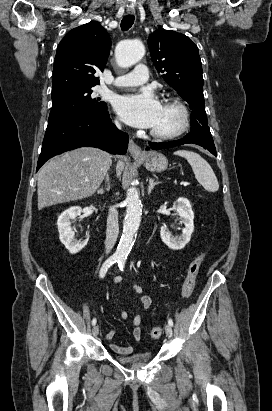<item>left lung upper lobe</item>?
Instances as JSON below:
<instances>
[{"label": "left lung upper lobe", "instance_id": "1", "mask_svg": "<svg viewBox=\"0 0 272 411\" xmlns=\"http://www.w3.org/2000/svg\"><path fill=\"white\" fill-rule=\"evenodd\" d=\"M148 46L157 71L163 73L164 80L189 104L191 131L209 130L197 46L187 36L163 29L149 36Z\"/></svg>", "mask_w": 272, "mask_h": 411}]
</instances>
